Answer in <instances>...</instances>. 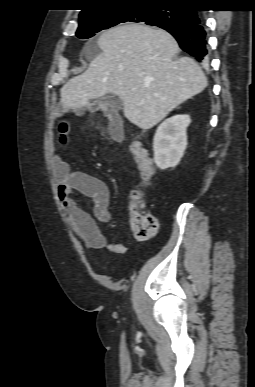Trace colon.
Here are the masks:
<instances>
[{
  "instance_id": "5ec220e1",
  "label": "colon",
  "mask_w": 255,
  "mask_h": 387,
  "mask_svg": "<svg viewBox=\"0 0 255 387\" xmlns=\"http://www.w3.org/2000/svg\"><path fill=\"white\" fill-rule=\"evenodd\" d=\"M129 149L138 165L143 184L145 186L149 185L155 174L152 160L138 141H132ZM129 220L132 231L139 238L152 237L158 231L157 219L145 211L144 193L142 190H135L131 193Z\"/></svg>"
}]
</instances>
